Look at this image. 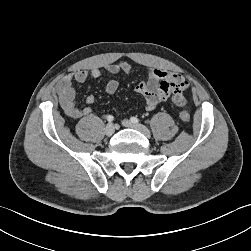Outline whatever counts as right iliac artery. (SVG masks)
I'll list each match as a JSON object with an SVG mask.
<instances>
[{"mask_svg":"<svg viewBox=\"0 0 251 251\" xmlns=\"http://www.w3.org/2000/svg\"><path fill=\"white\" fill-rule=\"evenodd\" d=\"M113 120H114V117H113L112 115H108V116H107V121H108L109 123L113 122Z\"/></svg>","mask_w":251,"mask_h":251,"instance_id":"82829eb1","label":"right iliac artery"}]
</instances>
